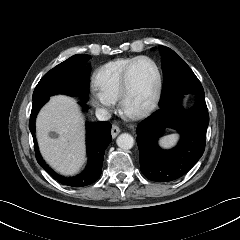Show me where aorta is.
I'll list each match as a JSON object with an SVG mask.
<instances>
[{"instance_id": "762f6f07", "label": "aorta", "mask_w": 240, "mask_h": 240, "mask_svg": "<svg viewBox=\"0 0 240 240\" xmlns=\"http://www.w3.org/2000/svg\"><path fill=\"white\" fill-rule=\"evenodd\" d=\"M116 143L120 149L129 150L134 145V139L128 133H122L117 137Z\"/></svg>"}]
</instances>
